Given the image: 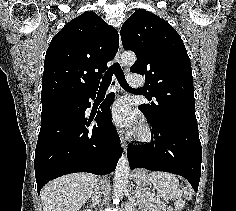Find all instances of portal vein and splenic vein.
<instances>
[{
	"instance_id": "1",
	"label": "portal vein and splenic vein",
	"mask_w": 236,
	"mask_h": 211,
	"mask_svg": "<svg viewBox=\"0 0 236 211\" xmlns=\"http://www.w3.org/2000/svg\"><path fill=\"white\" fill-rule=\"evenodd\" d=\"M139 196H140V193H137V194H136V197H139Z\"/></svg>"
}]
</instances>
